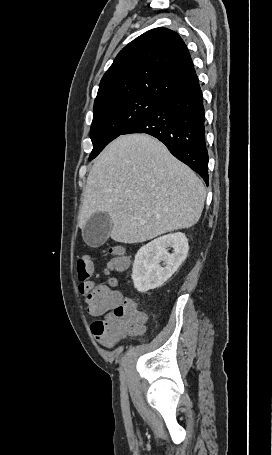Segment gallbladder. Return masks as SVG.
Masks as SVG:
<instances>
[{
	"label": "gallbladder",
	"mask_w": 272,
	"mask_h": 455,
	"mask_svg": "<svg viewBox=\"0 0 272 455\" xmlns=\"http://www.w3.org/2000/svg\"><path fill=\"white\" fill-rule=\"evenodd\" d=\"M113 222L106 212L92 215L82 229L84 241L92 247H98L109 238Z\"/></svg>",
	"instance_id": "1"
}]
</instances>
